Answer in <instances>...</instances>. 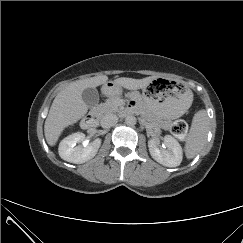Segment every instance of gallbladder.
Returning <instances> with one entry per match:
<instances>
[{
  "mask_svg": "<svg viewBox=\"0 0 243 243\" xmlns=\"http://www.w3.org/2000/svg\"><path fill=\"white\" fill-rule=\"evenodd\" d=\"M82 99L89 108L95 107L99 102V94L95 88H86L82 92Z\"/></svg>",
  "mask_w": 243,
  "mask_h": 243,
  "instance_id": "bac80fb5",
  "label": "gallbladder"
}]
</instances>
